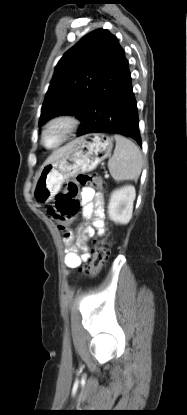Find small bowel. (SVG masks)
Returning a JSON list of instances; mask_svg holds the SVG:
<instances>
[{
	"instance_id": "obj_1",
	"label": "small bowel",
	"mask_w": 187,
	"mask_h": 415,
	"mask_svg": "<svg viewBox=\"0 0 187 415\" xmlns=\"http://www.w3.org/2000/svg\"><path fill=\"white\" fill-rule=\"evenodd\" d=\"M80 199L83 205L82 216L86 220H91L92 225L87 226L83 233L76 237L72 233L64 235L63 242L66 252L64 264L68 269L79 267L83 261L90 257L87 240L94 234V229L104 232L105 202L103 194L92 188L84 187L81 190Z\"/></svg>"
}]
</instances>
